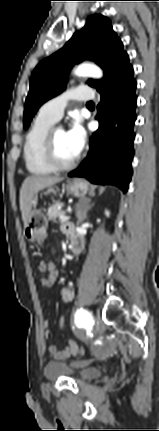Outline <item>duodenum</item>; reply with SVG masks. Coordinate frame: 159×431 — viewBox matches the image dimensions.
<instances>
[{
  "label": "duodenum",
  "instance_id": "obj_1",
  "mask_svg": "<svg viewBox=\"0 0 159 431\" xmlns=\"http://www.w3.org/2000/svg\"><path fill=\"white\" fill-rule=\"evenodd\" d=\"M69 236H70V247L72 251L74 253L80 252L83 246L82 239L73 230L69 232Z\"/></svg>",
  "mask_w": 159,
  "mask_h": 431
}]
</instances>
